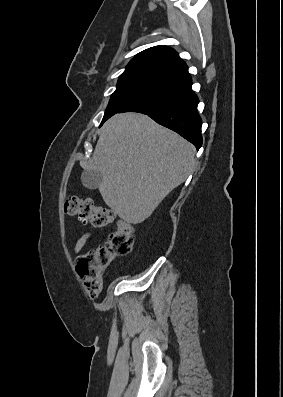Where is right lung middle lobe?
<instances>
[{"mask_svg": "<svg viewBox=\"0 0 283 397\" xmlns=\"http://www.w3.org/2000/svg\"><path fill=\"white\" fill-rule=\"evenodd\" d=\"M168 85L164 80L154 79L140 72L121 74L117 89L111 95L101 125L135 101Z\"/></svg>", "mask_w": 283, "mask_h": 397, "instance_id": "dd1d6c3e", "label": "right lung middle lobe"}]
</instances>
